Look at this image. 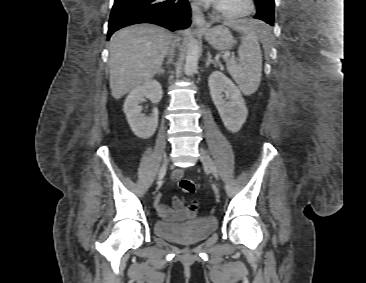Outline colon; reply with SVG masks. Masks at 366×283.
<instances>
[{
  "instance_id": "5ec220e1",
  "label": "colon",
  "mask_w": 366,
  "mask_h": 283,
  "mask_svg": "<svg viewBox=\"0 0 366 283\" xmlns=\"http://www.w3.org/2000/svg\"><path fill=\"white\" fill-rule=\"evenodd\" d=\"M179 187L181 189V191L185 194H193L196 191V184L193 180L191 179H182L179 183ZM196 202H194L190 209H189V213L190 214H194L195 210H196Z\"/></svg>"
}]
</instances>
